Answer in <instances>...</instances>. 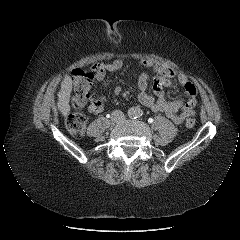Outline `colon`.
<instances>
[{
	"instance_id": "obj_1",
	"label": "colon",
	"mask_w": 240,
	"mask_h": 240,
	"mask_svg": "<svg viewBox=\"0 0 240 240\" xmlns=\"http://www.w3.org/2000/svg\"><path fill=\"white\" fill-rule=\"evenodd\" d=\"M95 72L75 69L72 72L73 96L71 99L72 111L66 118V128L71 135L81 137L86 128V118L82 111L89 100V90ZM196 119L193 114L189 115L185 120V125L189 128L194 127Z\"/></svg>"
}]
</instances>
